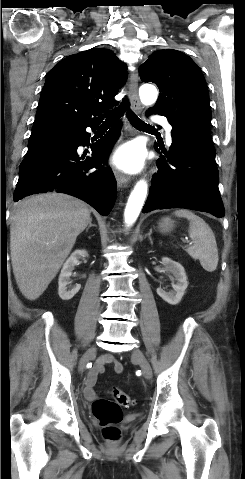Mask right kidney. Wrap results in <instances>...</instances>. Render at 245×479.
<instances>
[{
  "label": "right kidney",
  "instance_id": "ca27d5eb",
  "mask_svg": "<svg viewBox=\"0 0 245 479\" xmlns=\"http://www.w3.org/2000/svg\"><path fill=\"white\" fill-rule=\"evenodd\" d=\"M84 256H88L86 250H75L63 265L58 280V294L64 301L73 298L81 288L80 284H76L72 289H68L67 285L69 284L74 267L79 264V259Z\"/></svg>",
  "mask_w": 245,
  "mask_h": 479
}]
</instances>
